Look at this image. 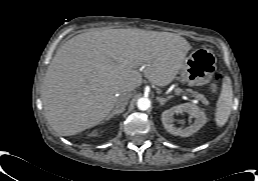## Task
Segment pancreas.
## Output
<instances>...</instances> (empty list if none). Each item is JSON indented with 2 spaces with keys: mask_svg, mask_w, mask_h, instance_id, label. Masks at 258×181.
I'll return each mask as SVG.
<instances>
[{
  "mask_svg": "<svg viewBox=\"0 0 258 181\" xmlns=\"http://www.w3.org/2000/svg\"><path fill=\"white\" fill-rule=\"evenodd\" d=\"M186 92L192 96V97H195L196 99L202 101V102H206V98L204 97L203 94H199L198 92L196 91H193L192 89H187Z\"/></svg>",
  "mask_w": 258,
  "mask_h": 181,
  "instance_id": "cf45deb5",
  "label": "pancreas"
}]
</instances>
